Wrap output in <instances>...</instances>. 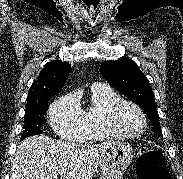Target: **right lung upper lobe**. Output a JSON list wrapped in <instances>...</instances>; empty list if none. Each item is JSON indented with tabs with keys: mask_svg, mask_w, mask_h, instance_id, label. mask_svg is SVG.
Returning a JSON list of instances; mask_svg holds the SVG:
<instances>
[{
	"mask_svg": "<svg viewBox=\"0 0 183 179\" xmlns=\"http://www.w3.org/2000/svg\"><path fill=\"white\" fill-rule=\"evenodd\" d=\"M71 70V65L61 60H53L46 64L30 87L26 106L33 103H40L57 95L65 83Z\"/></svg>",
	"mask_w": 183,
	"mask_h": 179,
	"instance_id": "cb5924a9",
	"label": "right lung upper lobe"
}]
</instances>
